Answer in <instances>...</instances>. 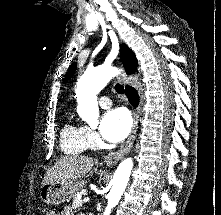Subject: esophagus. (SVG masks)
Returning <instances> with one entry per match:
<instances>
[{
	"label": "esophagus",
	"instance_id": "obj_1",
	"mask_svg": "<svg viewBox=\"0 0 221 215\" xmlns=\"http://www.w3.org/2000/svg\"><path fill=\"white\" fill-rule=\"evenodd\" d=\"M118 80L122 83L125 84V76L123 74H118L117 76ZM134 115V122H133V127L131 134L127 141L121 146V148L116 151L109 153L107 156L104 158V162L107 166H112L118 163L120 159H122L132 148L135 137H136V132H137V126H138V112L135 110L133 111Z\"/></svg>",
	"mask_w": 221,
	"mask_h": 215
}]
</instances>
